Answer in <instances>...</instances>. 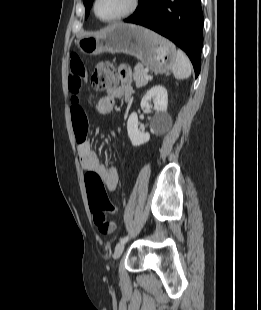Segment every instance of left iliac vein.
Wrapping results in <instances>:
<instances>
[{
	"label": "left iliac vein",
	"mask_w": 261,
	"mask_h": 310,
	"mask_svg": "<svg viewBox=\"0 0 261 310\" xmlns=\"http://www.w3.org/2000/svg\"><path fill=\"white\" fill-rule=\"evenodd\" d=\"M125 243L126 242H119L115 248V252H114V258L117 260L120 258V256L123 253L124 247H125Z\"/></svg>",
	"instance_id": "1"
}]
</instances>
